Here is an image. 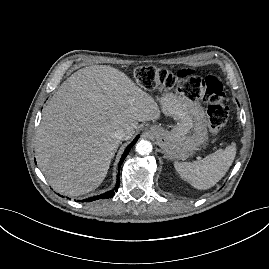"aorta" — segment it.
<instances>
[{
  "label": "aorta",
  "instance_id": "aorta-1",
  "mask_svg": "<svg viewBox=\"0 0 269 269\" xmlns=\"http://www.w3.org/2000/svg\"><path fill=\"white\" fill-rule=\"evenodd\" d=\"M151 151H152V144L150 141L142 139L136 144V152L139 155H148L149 153H151Z\"/></svg>",
  "mask_w": 269,
  "mask_h": 269
}]
</instances>
